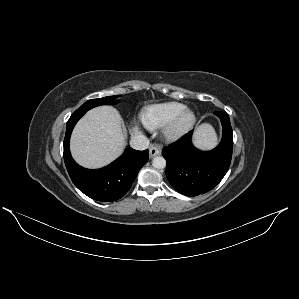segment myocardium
Segmentation results:
<instances>
[{
  "label": "myocardium",
  "mask_w": 299,
  "mask_h": 299,
  "mask_svg": "<svg viewBox=\"0 0 299 299\" xmlns=\"http://www.w3.org/2000/svg\"><path fill=\"white\" fill-rule=\"evenodd\" d=\"M196 115L193 110L185 108L179 112L165 126V136L170 140H177L184 137L194 126Z\"/></svg>",
  "instance_id": "1"
}]
</instances>
